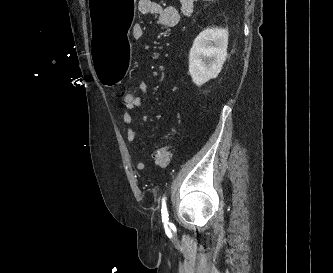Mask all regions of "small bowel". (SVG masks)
Masks as SVG:
<instances>
[{"mask_svg": "<svg viewBox=\"0 0 333 273\" xmlns=\"http://www.w3.org/2000/svg\"><path fill=\"white\" fill-rule=\"evenodd\" d=\"M138 12L141 15H152L157 19V24L162 28H172L179 24L181 16L178 10L174 7H164L160 3L154 0H139L138 2ZM132 35L134 39L140 40L144 36V28L142 24L136 23L132 28ZM148 84L144 81L139 84V91L142 95L147 94ZM125 94H134L132 92H127ZM135 95V94H134ZM143 106V97L135 95L134 109L141 108ZM134 109H123L122 119L126 134V139L128 142H132L135 139V130L133 128L134 116L132 111ZM149 115H142L138 121L141 123H146L149 121ZM145 163L143 161H137L135 163V168L138 171H143L145 169Z\"/></svg>", "mask_w": 333, "mask_h": 273, "instance_id": "c3829d8e", "label": "small bowel"}]
</instances>
